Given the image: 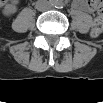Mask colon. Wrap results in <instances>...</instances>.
I'll use <instances>...</instances> for the list:
<instances>
[{
	"label": "colon",
	"instance_id": "1",
	"mask_svg": "<svg viewBox=\"0 0 103 103\" xmlns=\"http://www.w3.org/2000/svg\"><path fill=\"white\" fill-rule=\"evenodd\" d=\"M90 6L92 10H95L98 13V16L95 18L92 28H91V36L98 37L103 30V20H102V12L103 5L100 1H90Z\"/></svg>",
	"mask_w": 103,
	"mask_h": 103
}]
</instances>
